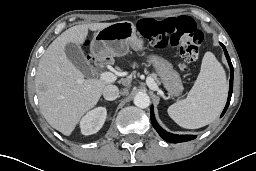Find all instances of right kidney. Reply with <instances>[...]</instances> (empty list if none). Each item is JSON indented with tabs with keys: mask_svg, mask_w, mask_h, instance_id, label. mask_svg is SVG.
I'll return each instance as SVG.
<instances>
[{
	"mask_svg": "<svg viewBox=\"0 0 256 171\" xmlns=\"http://www.w3.org/2000/svg\"><path fill=\"white\" fill-rule=\"evenodd\" d=\"M107 116L105 107H98L89 111L80 121L81 132L84 135H91L98 132Z\"/></svg>",
	"mask_w": 256,
	"mask_h": 171,
	"instance_id": "obj_1",
	"label": "right kidney"
}]
</instances>
